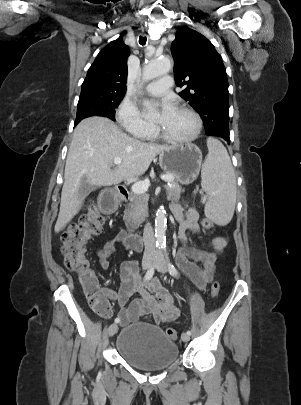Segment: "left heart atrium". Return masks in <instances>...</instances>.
Here are the masks:
<instances>
[{
	"mask_svg": "<svg viewBox=\"0 0 301 405\" xmlns=\"http://www.w3.org/2000/svg\"><path fill=\"white\" fill-rule=\"evenodd\" d=\"M161 106L163 114H169L175 110V107L170 99L163 100Z\"/></svg>",
	"mask_w": 301,
	"mask_h": 405,
	"instance_id": "left-heart-atrium-1",
	"label": "left heart atrium"
}]
</instances>
